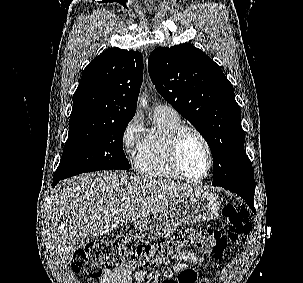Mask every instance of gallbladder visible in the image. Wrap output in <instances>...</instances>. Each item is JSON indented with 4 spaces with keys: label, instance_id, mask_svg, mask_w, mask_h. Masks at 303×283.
<instances>
[{
    "label": "gallbladder",
    "instance_id": "1",
    "mask_svg": "<svg viewBox=\"0 0 303 283\" xmlns=\"http://www.w3.org/2000/svg\"><path fill=\"white\" fill-rule=\"evenodd\" d=\"M90 241V237H80L75 242V249L84 248Z\"/></svg>",
    "mask_w": 303,
    "mask_h": 283
}]
</instances>
